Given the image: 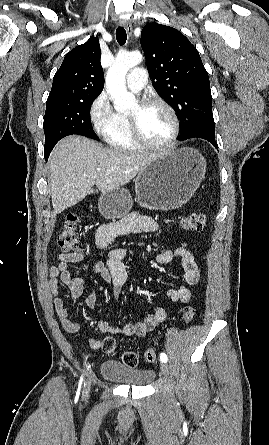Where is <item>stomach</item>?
<instances>
[{
    "instance_id": "obj_1",
    "label": "stomach",
    "mask_w": 269,
    "mask_h": 445,
    "mask_svg": "<svg viewBox=\"0 0 269 445\" xmlns=\"http://www.w3.org/2000/svg\"><path fill=\"white\" fill-rule=\"evenodd\" d=\"M206 161L192 148L170 149L158 154L135 179L136 198L141 206L168 211L185 205L205 177ZM132 197L123 188L102 193L98 208L110 220L125 217Z\"/></svg>"
}]
</instances>
